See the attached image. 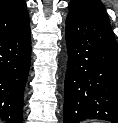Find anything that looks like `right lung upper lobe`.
I'll return each mask as SVG.
<instances>
[{
    "label": "right lung upper lobe",
    "mask_w": 118,
    "mask_h": 123,
    "mask_svg": "<svg viewBox=\"0 0 118 123\" xmlns=\"http://www.w3.org/2000/svg\"><path fill=\"white\" fill-rule=\"evenodd\" d=\"M29 26L24 0H0V37L19 32Z\"/></svg>",
    "instance_id": "1"
}]
</instances>
